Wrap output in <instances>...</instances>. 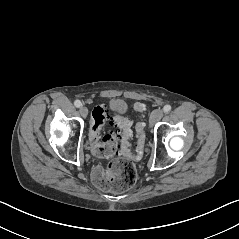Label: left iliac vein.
Here are the masks:
<instances>
[{"label":"left iliac vein","mask_w":239,"mask_h":239,"mask_svg":"<svg viewBox=\"0 0 239 239\" xmlns=\"http://www.w3.org/2000/svg\"><path fill=\"white\" fill-rule=\"evenodd\" d=\"M163 117V111L160 109L153 110L150 114L149 123L153 126L156 122Z\"/></svg>","instance_id":"4c4485c4"}]
</instances>
